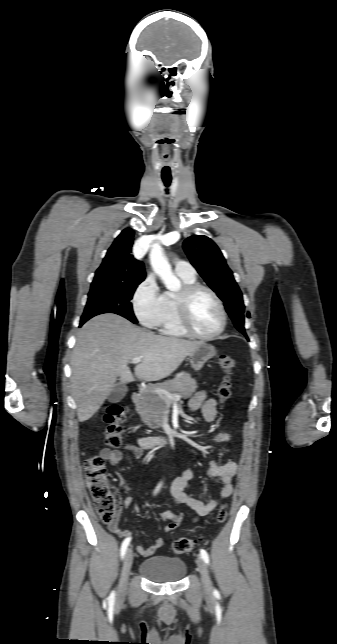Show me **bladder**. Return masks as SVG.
Segmentation results:
<instances>
[{"mask_svg":"<svg viewBox=\"0 0 337 644\" xmlns=\"http://www.w3.org/2000/svg\"><path fill=\"white\" fill-rule=\"evenodd\" d=\"M139 572L150 581L170 583L182 580L187 567L180 558L158 555L143 560L139 565Z\"/></svg>","mask_w":337,"mask_h":644,"instance_id":"obj_1","label":"bladder"}]
</instances>
